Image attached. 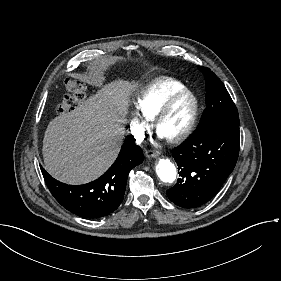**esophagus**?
I'll use <instances>...</instances> for the list:
<instances>
[{"label":"esophagus","mask_w":281,"mask_h":281,"mask_svg":"<svg viewBox=\"0 0 281 281\" xmlns=\"http://www.w3.org/2000/svg\"><path fill=\"white\" fill-rule=\"evenodd\" d=\"M160 154L159 150L156 149H149L146 151V156L149 158H154Z\"/></svg>","instance_id":"1"}]
</instances>
